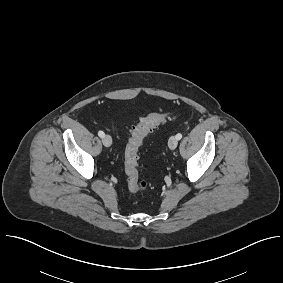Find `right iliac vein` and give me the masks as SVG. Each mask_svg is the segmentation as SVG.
Masks as SVG:
<instances>
[{
    "label": "right iliac vein",
    "instance_id": "63e3f726",
    "mask_svg": "<svg viewBox=\"0 0 283 283\" xmlns=\"http://www.w3.org/2000/svg\"><path fill=\"white\" fill-rule=\"evenodd\" d=\"M104 146L110 147L112 145V138L109 135H105L102 139Z\"/></svg>",
    "mask_w": 283,
    "mask_h": 283
}]
</instances>
